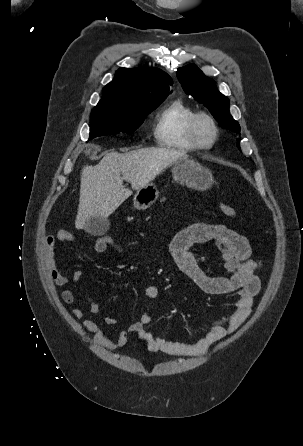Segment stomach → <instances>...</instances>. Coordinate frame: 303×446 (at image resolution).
Listing matches in <instances>:
<instances>
[{"instance_id":"stomach-1","label":"stomach","mask_w":303,"mask_h":446,"mask_svg":"<svg viewBox=\"0 0 303 446\" xmlns=\"http://www.w3.org/2000/svg\"><path fill=\"white\" fill-rule=\"evenodd\" d=\"M171 166L174 180L191 189L205 191L213 184L211 171L193 160L183 158L173 162ZM158 195L156 186L149 183L136 191L134 207L137 210H145L157 200Z\"/></svg>"}]
</instances>
